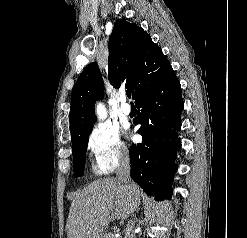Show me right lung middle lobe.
<instances>
[{
  "instance_id": "1",
  "label": "right lung middle lobe",
  "mask_w": 247,
  "mask_h": 238,
  "mask_svg": "<svg viewBox=\"0 0 247 238\" xmlns=\"http://www.w3.org/2000/svg\"><path fill=\"white\" fill-rule=\"evenodd\" d=\"M91 131L72 145L73 168L75 177L82 176L85 166V157L88 145V136Z\"/></svg>"
}]
</instances>
